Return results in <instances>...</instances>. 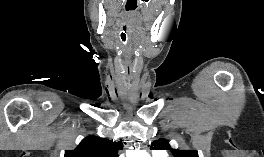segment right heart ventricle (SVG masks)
Segmentation results:
<instances>
[{
  "label": "right heart ventricle",
  "instance_id": "e07e8e85",
  "mask_svg": "<svg viewBox=\"0 0 264 157\" xmlns=\"http://www.w3.org/2000/svg\"><path fill=\"white\" fill-rule=\"evenodd\" d=\"M154 157H168L166 154L163 153H155Z\"/></svg>",
  "mask_w": 264,
  "mask_h": 157
}]
</instances>
